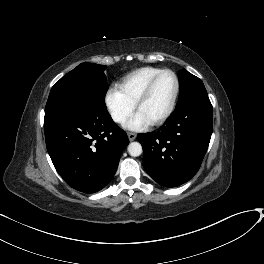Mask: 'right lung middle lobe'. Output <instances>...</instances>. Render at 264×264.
Instances as JSON below:
<instances>
[{
	"label": "right lung middle lobe",
	"mask_w": 264,
	"mask_h": 264,
	"mask_svg": "<svg viewBox=\"0 0 264 264\" xmlns=\"http://www.w3.org/2000/svg\"><path fill=\"white\" fill-rule=\"evenodd\" d=\"M105 69V65L82 63L63 76L51 89L45 115L85 104L105 108V95L108 90Z\"/></svg>",
	"instance_id": "right-lung-middle-lobe-1"
}]
</instances>
